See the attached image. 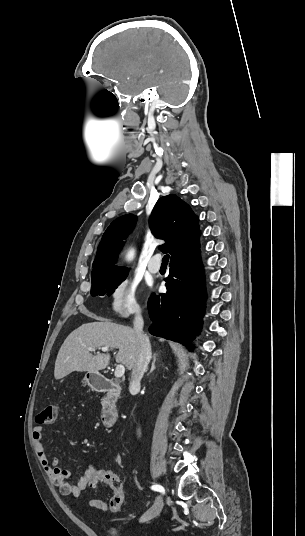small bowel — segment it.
<instances>
[{
    "mask_svg": "<svg viewBox=\"0 0 305 536\" xmlns=\"http://www.w3.org/2000/svg\"><path fill=\"white\" fill-rule=\"evenodd\" d=\"M32 439L41 466L62 496L79 497L83 491L90 488V482L93 481L91 477L93 464H89L83 469L75 483H70L68 480L71 478V471L61 467L57 457H50L47 454L43 445V427L33 428ZM88 505L103 512L111 511L109 504L99 498L89 500Z\"/></svg>",
    "mask_w": 305,
    "mask_h": 536,
    "instance_id": "small-bowel-1",
    "label": "small bowel"
}]
</instances>
